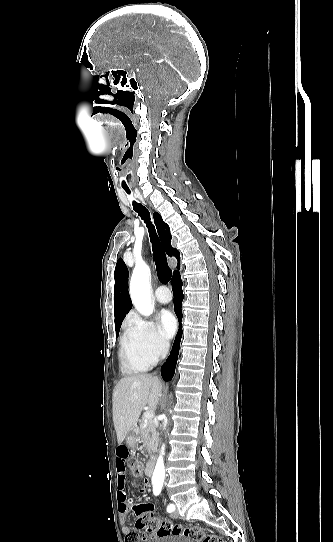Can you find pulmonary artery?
<instances>
[{
    "label": "pulmonary artery",
    "instance_id": "obj_1",
    "mask_svg": "<svg viewBox=\"0 0 333 542\" xmlns=\"http://www.w3.org/2000/svg\"><path fill=\"white\" fill-rule=\"evenodd\" d=\"M155 299L160 304H168L171 301L168 287L165 284H160L155 290ZM158 292V294H157Z\"/></svg>",
    "mask_w": 333,
    "mask_h": 542
}]
</instances>
